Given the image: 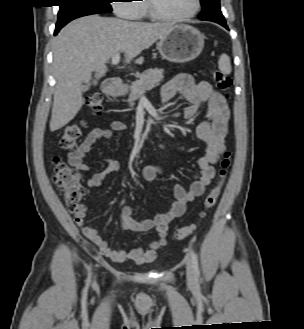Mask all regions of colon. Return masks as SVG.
<instances>
[{
	"mask_svg": "<svg viewBox=\"0 0 304 329\" xmlns=\"http://www.w3.org/2000/svg\"><path fill=\"white\" fill-rule=\"evenodd\" d=\"M212 77L217 87L223 91H228L232 87V80L221 70H213ZM87 107L93 116H99L102 113V98L98 94H94L87 99ZM82 123H73L65 127L58 141V146L63 151H71L77 147V141L82 133ZM232 153L225 151L220 163L219 181L212 188L204 199L203 211L201 217H204L206 212L212 209L221 194L225 178L231 166ZM54 184L63 192L66 207L70 212H78L81 208V201L85 195V188L81 184L80 174L73 167L63 162L60 158L54 159ZM196 228V224L176 229L173 233V238L182 240L190 236Z\"/></svg>",
	"mask_w": 304,
	"mask_h": 329,
	"instance_id": "1",
	"label": "colon"
}]
</instances>
